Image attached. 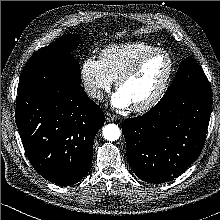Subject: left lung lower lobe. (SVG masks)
<instances>
[{"label": "left lung lower lobe", "instance_id": "1", "mask_svg": "<svg viewBox=\"0 0 220 220\" xmlns=\"http://www.w3.org/2000/svg\"><path fill=\"white\" fill-rule=\"evenodd\" d=\"M211 109V88H200L124 120L127 158L137 177L157 184L183 173L202 151Z\"/></svg>", "mask_w": 220, "mask_h": 220}]
</instances>
